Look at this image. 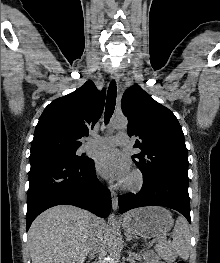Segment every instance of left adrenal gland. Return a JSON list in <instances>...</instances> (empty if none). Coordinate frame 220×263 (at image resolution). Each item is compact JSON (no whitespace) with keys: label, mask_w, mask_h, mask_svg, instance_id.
Returning a JSON list of instances; mask_svg holds the SVG:
<instances>
[{"label":"left adrenal gland","mask_w":220,"mask_h":263,"mask_svg":"<svg viewBox=\"0 0 220 263\" xmlns=\"http://www.w3.org/2000/svg\"><path fill=\"white\" fill-rule=\"evenodd\" d=\"M127 241H131L133 239L132 236H130L128 233H125Z\"/></svg>","instance_id":"1"}]
</instances>
